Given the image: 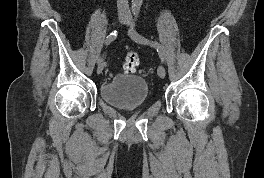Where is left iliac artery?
<instances>
[{"label":"left iliac artery","instance_id":"left-iliac-artery-1","mask_svg":"<svg viewBox=\"0 0 264 178\" xmlns=\"http://www.w3.org/2000/svg\"><path fill=\"white\" fill-rule=\"evenodd\" d=\"M138 15H139V11H135L134 12V16H135V20H137L138 18ZM129 35L131 36V38L133 40H135L136 42H139V43H142V44H147V45H150L152 47H154L158 54H159V57L161 59L162 62H164L165 60V57H164V51H163V48L162 46L158 43V42H151L150 40H148L147 38L141 36L140 34H138L133 26L131 27V29L129 30Z\"/></svg>","mask_w":264,"mask_h":178}]
</instances>
